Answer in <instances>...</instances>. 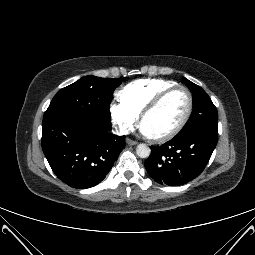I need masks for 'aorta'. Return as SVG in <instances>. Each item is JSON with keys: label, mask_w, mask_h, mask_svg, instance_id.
I'll list each match as a JSON object with an SVG mask.
<instances>
[{"label": "aorta", "mask_w": 255, "mask_h": 255, "mask_svg": "<svg viewBox=\"0 0 255 255\" xmlns=\"http://www.w3.org/2000/svg\"><path fill=\"white\" fill-rule=\"evenodd\" d=\"M136 153L140 158H148L151 153V149L146 144H139L136 148Z\"/></svg>", "instance_id": "1"}]
</instances>
